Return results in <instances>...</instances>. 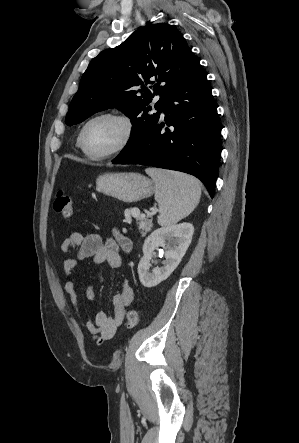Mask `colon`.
<instances>
[{
	"instance_id": "1",
	"label": "colon",
	"mask_w": 299,
	"mask_h": 443,
	"mask_svg": "<svg viewBox=\"0 0 299 443\" xmlns=\"http://www.w3.org/2000/svg\"><path fill=\"white\" fill-rule=\"evenodd\" d=\"M54 210L62 215L66 220H70L73 216V206L70 197L63 191H59L55 201ZM140 321L139 312L136 309H131L126 314L127 327L135 328Z\"/></svg>"
}]
</instances>
